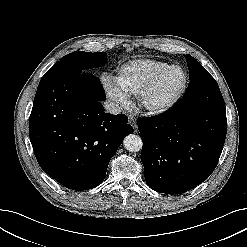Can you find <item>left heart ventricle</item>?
Returning <instances> with one entry per match:
<instances>
[{"instance_id":"left-heart-ventricle-1","label":"left heart ventricle","mask_w":247,"mask_h":247,"mask_svg":"<svg viewBox=\"0 0 247 247\" xmlns=\"http://www.w3.org/2000/svg\"><path fill=\"white\" fill-rule=\"evenodd\" d=\"M183 74L178 69L168 71L160 80L158 88L153 94V101L160 102L167 99L181 86Z\"/></svg>"}]
</instances>
